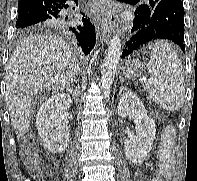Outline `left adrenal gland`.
<instances>
[{
    "instance_id": "left-adrenal-gland-1",
    "label": "left adrenal gland",
    "mask_w": 197,
    "mask_h": 181,
    "mask_svg": "<svg viewBox=\"0 0 197 181\" xmlns=\"http://www.w3.org/2000/svg\"><path fill=\"white\" fill-rule=\"evenodd\" d=\"M123 91H125V88L122 86V87H120L119 96L122 95V92H123Z\"/></svg>"
}]
</instances>
